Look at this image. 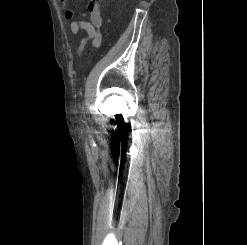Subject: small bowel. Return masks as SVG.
<instances>
[{
    "label": "small bowel",
    "instance_id": "small-bowel-1",
    "mask_svg": "<svg viewBox=\"0 0 247 245\" xmlns=\"http://www.w3.org/2000/svg\"><path fill=\"white\" fill-rule=\"evenodd\" d=\"M64 10L66 19L71 20L70 30L73 34H78L81 31L86 33V36L80 41L77 47V54L82 55L86 44L92 41L94 47H99L101 44L102 36L100 33V27L102 19L100 12L96 6L90 8L91 21H85L83 19L75 18V13L69 8V0H59ZM86 15V14H85Z\"/></svg>",
    "mask_w": 247,
    "mask_h": 245
}]
</instances>
